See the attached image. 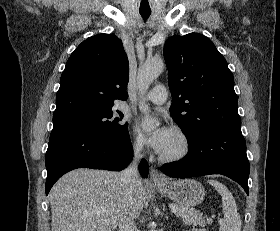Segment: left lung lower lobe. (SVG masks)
Here are the masks:
<instances>
[{
  "instance_id": "0a47b994",
  "label": "left lung lower lobe",
  "mask_w": 280,
  "mask_h": 231,
  "mask_svg": "<svg viewBox=\"0 0 280 231\" xmlns=\"http://www.w3.org/2000/svg\"><path fill=\"white\" fill-rule=\"evenodd\" d=\"M188 148V155L181 161L164 164L163 173L175 178L222 174L249 194V161L241 126L210 128L189 138Z\"/></svg>"
}]
</instances>
